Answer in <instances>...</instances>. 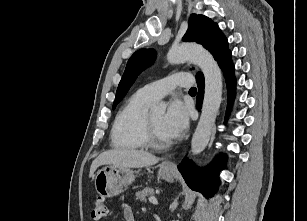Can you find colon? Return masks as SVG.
I'll return each mask as SVG.
<instances>
[{
	"instance_id": "colon-1",
	"label": "colon",
	"mask_w": 307,
	"mask_h": 221,
	"mask_svg": "<svg viewBox=\"0 0 307 221\" xmlns=\"http://www.w3.org/2000/svg\"><path fill=\"white\" fill-rule=\"evenodd\" d=\"M108 214L107 203L104 198L98 197L94 201V209L92 211V217L94 219H101L106 217Z\"/></svg>"
}]
</instances>
